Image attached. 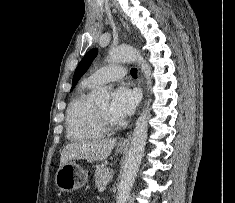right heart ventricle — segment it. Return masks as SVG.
Listing matches in <instances>:
<instances>
[{"label": "right heart ventricle", "mask_w": 235, "mask_h": 203, "mask_svg": "<svg viewBox=\"0 0 235 203\" xmlns=\"http://www.w3.org/2000/svg\"><path fill=\"white\" fill-rule=\"evenodd\" d=\"M95 88L84 81L69 104L66 127L72 141L97 139L105 133L97 117L96 105L90 98V92Z\"/></svg>", "instance_id": "obj_1"}]
</instances>
